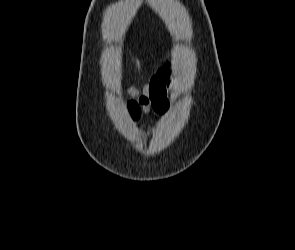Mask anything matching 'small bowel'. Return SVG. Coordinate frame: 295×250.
Masks as SVG:
<instances>
[{
    "label": "small bowel",
    "instance_id": "small-bowel-1",
    "mask_svg": "<svg viewBox=\"0 0 295 250\" xmlns=\"http://www.w3.org/2000/svg\"><path fill=\"white\" fill-rule=\"evenodd\" d=\"M171 65L161 67L156 75L144 87L142 92L130 90V93L138 98V104L150 106L153 111L163 116L167 113L171 101Z\"/></svg>",
    "mask_w": 295,
    "mask_h": 250
}]
</instances>
